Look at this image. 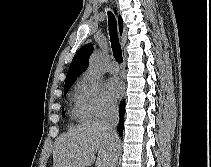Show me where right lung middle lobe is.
Instances as JSON below:
<instances>
[{
    "label": "right lung middle lobe",
    "mask_w": 211,
    "mask_h": 167,
    "mask_svg": "<svg viewBox=\"0 0 211 167\" xmlns=\"http://www.w3.org/2000/svg\"><path fill=\"white\" fill-rule=\"evenodd\" d=\"M74 80L65 82V87H64V95H66V93L68 92L69 88L71 87V85L73 84ZM63 110H62V114H63Z\"/></svg>",
    "instance_id": "obj_1"
}]
</instances>
